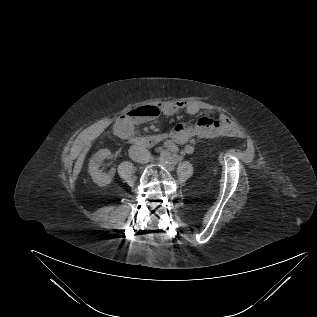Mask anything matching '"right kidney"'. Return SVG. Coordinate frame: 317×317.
Here are the masks:
<instances>
[{
    "label": "right kidney",
    "instance_id": "ca27d5eb",
    "mask_svg": "<svg viewBox=\"0 0 317 317\" xmlns=\"http://www.w3.org/2000/svg\"><path fill=\"white\" fill-rule=\"evenodd\" d=\"M110 154L111 152L108 149H100L90 159L89 174L91 175L93 182L99 186H105L109 184L115 175L114 168H111L107 174L102 173V171L99 169L100 163Z\"/></svg>",
    "mask_w": 317,
    "mask_h": 317
}]
</instances>
